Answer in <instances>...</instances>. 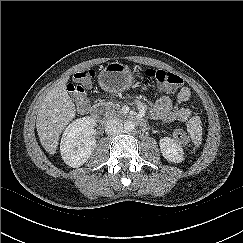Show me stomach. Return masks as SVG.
Masks as SVG:
<instances>
[{"label": "stomach", "mask_w": 243, "mask_h": 243, "mask_svg": "<svg viewBox=\"0 0 243 243\" xmlns=\"http://www.w3.org/2000/svg\"><path fill=\"white\" fill-rule=\"evenodd\" d=\"M98 82L105 91L118 93L132 87L134 77L127 65L111 62L100 71Z\"/></svg>", "instance_id": "0dacf381"}]
</instances>
